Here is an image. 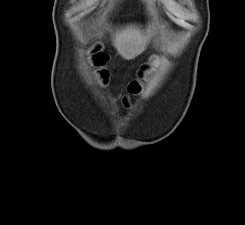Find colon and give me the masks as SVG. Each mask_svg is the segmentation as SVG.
<instances>
[{"instance_id": "colon-1", "label": "colon", "mask_w": 245, "mask_h": 225, "mask_svg": "<svg viewBox=\"0 0 245 225\" xmlns=\"http://www.w3.org/2000/svg\"><path fill=\"white\" fill-rule=\"evenodd\" d=\"M100 51V49L99 48H97L96 50H95V52H99ZM134 88V86H132V89Z\"/></svg>"}]
</instances>
